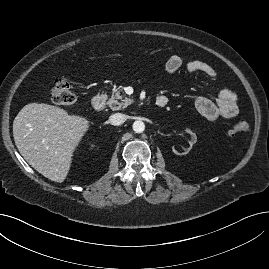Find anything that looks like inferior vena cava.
I'll use <instances>...</instances> for the list:
<instances>
[{
    "mask_svg": "<svg viewBox=\"0 0 269 269\" xmlns=\"http://www.w3.org/2000/svg\"><path fill=\"white\" fill-rule=\"evenodd\" d=\"M126 121V115L121 113H115L109 117V123L114 126H119Z\"/></svg>",
    "mask_w": 269,
    "mask_h": 269,
    "instance_id": "602c4592",
    "label": "inferior vena cava"
}]
</instances>
